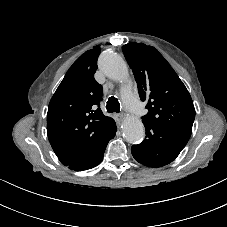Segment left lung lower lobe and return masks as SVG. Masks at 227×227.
I'll list each match as a JSON object with an SVG mask.
<instances>
[{"label": "left lung lower lobe", "instance_id": "0a47b994", "mask_svg": "<svg viewBox=\"0 0 227 227\" xmlns=\"http://www.w3.org/2000/svg\"><path fill=\"white\" fill-rule=\"evenodd\" d=\"M145 139L133 145L131 152L139 163L149 167H161L171 163L182 151L188 139L156 125L144 124Z\"/></svg>", "mask_w": 227, "mask_h": 227}]
</instances>
